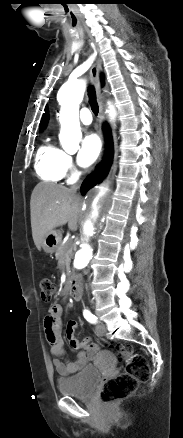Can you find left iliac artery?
<instances>
[{"label": "left iliac artery", "mask_w": 183, "mask_h": 438, "mask_svg": "<svg viewBox=\"0 0 183 438\" xmlns=\"http://www.w3.org/2000/svg\"><path fill=\"white\" fill-rule=\"evenodd\" d=\"M83 315L88 322L93 324L97 323V317L93 315L89 310L85 309L83 311Z\"/></svg>", "instance_id": "44dca946"}]
</instances>
